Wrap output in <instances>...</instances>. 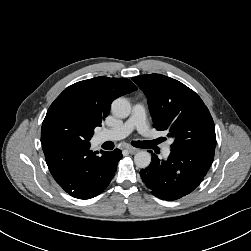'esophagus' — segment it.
<instances>
[{
	"instance_id": "obj_1",
	"label": "esophagus",
	"mask_w": 251,
	"mask_h": 251,
	"mask_svg": "<svg viewBox=\"0 0 251 251\" xmlns=\"http://www.w3.org/2000/svg\"><path fill=\"white\" fill-rule=\"evenodd\" d=\"M126 150L130 153V154H135L137 153L139 150L137 148L134 147H127Z\"/></svg>"
}]
</instances>
